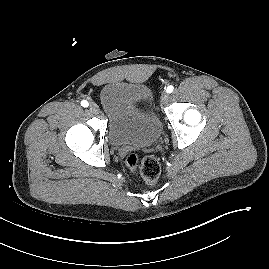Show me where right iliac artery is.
I'll return each mask as SVG.
<instances>
[{"mask_svg": "<svg viewBox=\"0 0 269 269\" xmlns=\"http://www.w3.org/2000/svg\"><path fill=\"white\" fill-rule=\"evenodd\" d=\"M83 107H88L89 103L86 100L81 101Z\"/></svg>", "mask_w": 269, "mask_h": 269, "instance_id": "right-iliac-artery-1", "label": "right iliac artery"}]
</instances>
